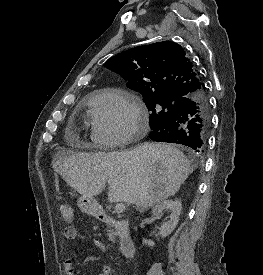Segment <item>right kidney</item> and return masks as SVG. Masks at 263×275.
<instances>
[{"label": "right kidney", "instance_id": "obj_1", "mask_svg": "<svg viewBox=\"0 0 263 275\" xmlns=\"http://www.w3.org/2000/svg\"><path fill=\"white\" fill-rule=\"evenodd\" d=\"M182 205L179 200H165L158 203L152 210V214L159 217L164 210H169L171 212L170 219L162 224L160 227V235L162 238L169 236L176 228L179 216L181 213ZM143 244L148 246H153L154 242L151 240L143 239Z\"/></svg>", "mask_w": 263, "mask_h": 275}]
</instances>
